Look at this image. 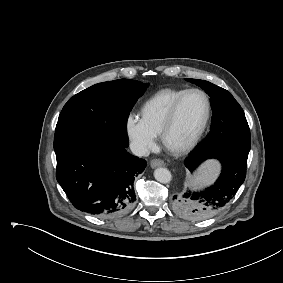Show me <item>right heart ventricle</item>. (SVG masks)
I'll use <instances>...</instances> for the list:
<instances>
[{
  "mask_svg": "<svg viewBox=\"0 0 283 283\" xmlns=\"http://www.w3.org/2000/svg\"><path fill=\"white\" fill-rule=\"evenodd\" d=\"M187 89L166 88L150 96L141 106L140 119L155 136L160 134L167 115L178 97Z\"/></svg>",
  "mask_w": 283,
  "mask_h": 283,
  "instance_id": "1",
  "label": "right heart ventricle"
}]
</instances>
